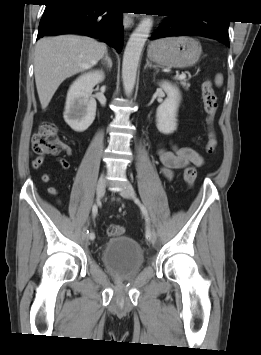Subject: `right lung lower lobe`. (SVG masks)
Returning <instances> with one entry per match:
<instances>
[{
	"label": "right lung lower lobe",
	"instance_id": "obj_1",
	"mask_svg": "<svg viewBox=\"0 0 261 355\" xmlns=\"http://www.w3.org/2000/svg\"><path fill=\"white\" fill-rule=\"evenodd\" d=\"M37 39L46 35L78 33L99 38L118 52L123 46V19L119 11L104 10L86 0H45Z\"/></svg>",
	"mask_w": 261,
	"mask_h": 355
}]
</instances>
